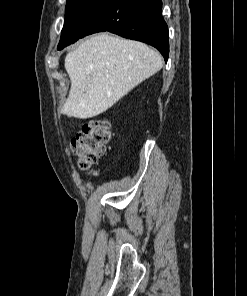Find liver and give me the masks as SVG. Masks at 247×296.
<instances>
[{
    "label": "liver",
    "mask_w": 247,
    "mask_h": 296,
    "mask_svg": "<svg viewBox=\"0 0 247 296\" xmlns=\"http://www.w3.org/2000/svg\"><path fill=\"white\" fill-rule=\"evenodd\" d=\"M162 66L159 52L144 43L94 35L65 57L71 89L62 113L78 119L100 115Z\"/></svg>",
    "instance_id": "6515ba94"
}]
</instances>
